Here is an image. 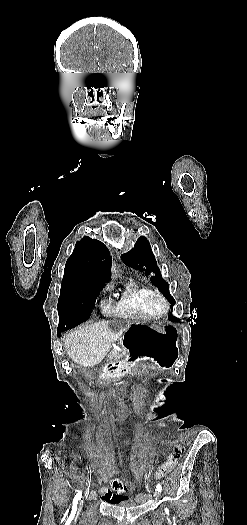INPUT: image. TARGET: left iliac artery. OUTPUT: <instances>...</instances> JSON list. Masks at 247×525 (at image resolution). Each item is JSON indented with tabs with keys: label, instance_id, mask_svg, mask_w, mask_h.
Instances as JSON below:
<instances>
[{
	"label": "left iliac artery",
	"instance_id": "left-iliac-artery-1",
	"mask_svg": "<svg viewBox=\"0 0 247 525\" xmlns=\"http://www.w3.org/2000/svg\"><path fill=\"white\" fill-rule=\"evenodd\" d=\"M156 489H157L159 492H161V491H162V486H161L160 484H157Z\"/></svg>",
	"mask_w": 247,
	"mask_h": 525
}]
</instances>
